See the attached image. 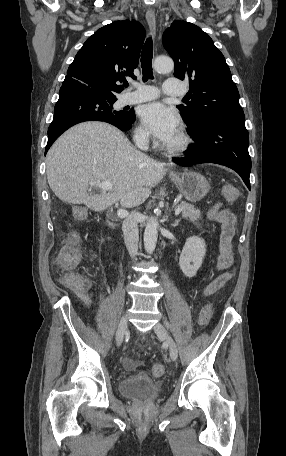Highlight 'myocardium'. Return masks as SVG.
<instances>
[{
  "mask_svg": "<svg viewBox=\"0 0 286 456\" xmlns=\"http://www.w3.org/2000/svg\"><path fill=\"white\" fill-rule=\"evenodd\" d=\"M177 136H178V138L175 143L165 145V150L168 151L169 153H174V154L183 153L190 148V146L193 142L192 137L185 129H181L178 132Z\"/></svg>",
  "mask_w": 286,
  "mask_h": 456,
  "instance_id": "obj_1",
  "label": "myocardium"
}]
</instances>
